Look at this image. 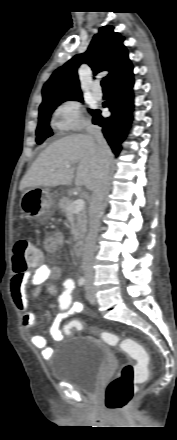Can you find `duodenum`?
Wrapping results in <instances>:
<instances>
[{"instance_id": "1", "label": "duodenum", "mask_w": 177, "mask_h": 440, "mask_svg": "<svg viewBox=\"0 0 177 440\" xmlns=\"http://www.w3.org/2000/svg\"><path fill=\"white\" fill-rule=\"evenodd\" d=\"M73 250L74 253L78 256L83 255L84 253V243L81 240H77L76 242H74L73 244Z\"/></svg>"}]
</instances>
